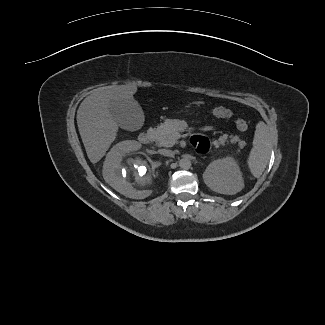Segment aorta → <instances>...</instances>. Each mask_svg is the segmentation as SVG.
I'll list each match as a JSON object with an SVG mask.
<instances>
[{"instance_id":"762f6f07","label":"aorta","mask_w":325,"mask_h":325,"mask_svg":"<svg viewBox=\"0 0 325 325\" xmlns=\"http://www.w3.org/2000/svg\"><path fill=\"white\" fill-rule=\"evenodd\" d=\"M179 166L182 169H189L191 167V162L188 159H181L179 161Z\"/></svg>"}]
</instances>
